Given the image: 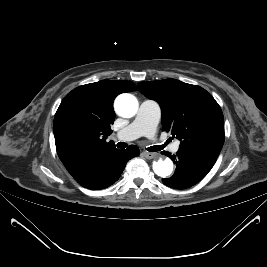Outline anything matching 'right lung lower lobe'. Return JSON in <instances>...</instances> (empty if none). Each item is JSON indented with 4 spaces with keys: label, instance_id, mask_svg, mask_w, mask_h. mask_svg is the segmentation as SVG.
Instances as JSON below:
<instances>
[{
    "label": "right lung lower lobe",
    "instance_id": "obj_1",
    "mask_svg": "<svg viewBox=\"0 0 267 267\" xmlns=\"http://www.w3.org/2000/svg\"><path fill=\"white\" fill-rule=\"evenodd\" d=\"M139 153V148L135 145L124 150L116 148L101 150L88 157L70 174L85 188L104 189L119 179L126 163Z\"/></svg>",
    "mask_w": 267,
    "mask_h": 267
}]
</instances>
